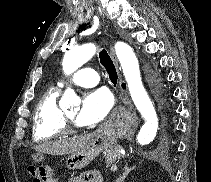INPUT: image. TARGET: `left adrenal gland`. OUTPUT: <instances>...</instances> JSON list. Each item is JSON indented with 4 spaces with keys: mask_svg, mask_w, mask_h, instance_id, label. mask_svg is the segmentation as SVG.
Returning a JSON list of instances; mask_svg holds the SVG:
<instances>
[{
    "mask_svg": "<svg viewBox=\"0 0 211 182\" xmlns=\"http://www.w3.org/2000/svg\"><path fill=\"white\" fill-rule=\"evenodd\" d=\"M136 166H133L131 168H128V164H126L124 166V169H123V173L122 175L119 176V178L116 180V182H124L125 178L127 177V175L135 169Z\"/></svg>",
    "mask_w": 211,
    "mask_h": 182,
    "instance_id": "obj_1",
    "label": "left adrenal gland"
}]
</instances>
